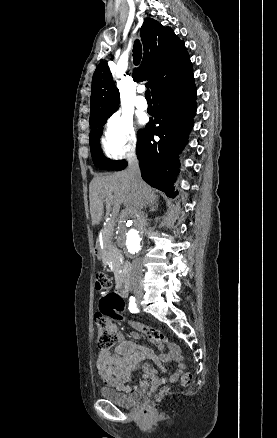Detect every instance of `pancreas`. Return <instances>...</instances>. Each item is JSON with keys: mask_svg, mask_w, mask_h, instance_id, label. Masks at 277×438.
<instances>
[{"mask_svg": "<svg viewBox=\"0 0 277 438\" xmlns=\"http://www.w3.org/2000/svg\"><path fill=\"white\" fill-rule=\"evenodd\" d=\"M114 236L113 231H104L102 235H99L98 240L96 241V246L98 247L99 252L103 253V266L112 267L114 270H117L120 267V258L116 254V251H114L115 247L112 245Z\"/></svg>", "mask_w": 277, "mask_h": 438, "instance_id": "1", "label": "pancreas"}]
</instances>
